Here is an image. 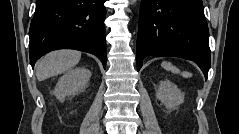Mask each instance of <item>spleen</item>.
Returning a JSON list of instances; mask_svg holds the SVG:
<instances>
[{"instance_id": "obj_1", "label": "spleen", "mask_w": 239, "mask_h": 134, "mask_svg": "<svg viewBox=\"0 0 239 134\" xmlns=\"http://www.w3.org/2000/svg\"><path fill=\"white\" fill-rule=\"evenodd\" d=\"M161 66L165 70L171 71L174 74H181L183 77H186V78L192 76V74L189 72H180V70L176 66L172 65L170 62H167V61H163L161 63Z\"/></svg>"}]
</instances>
